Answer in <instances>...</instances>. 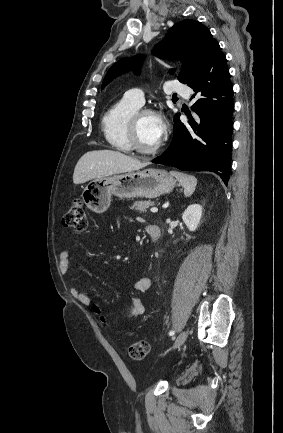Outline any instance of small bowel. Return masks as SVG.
Here are the masks:
<instances>
[{"label": "small bowel", "instance_id": "small-bowel-1", "mask_svg": "<svg viewBox=\"0 0 283 433\" xmlns=\"http://www.w3.org/2000/svg\"><path fill=\"white\" fill-rule=\"evenodd\" d=\"M121 218L118 219L117 224L120 225ZM59 268L62 274H66L69 271L70 264V253L67 249H63L59 252ZM152 281L149 277H142L138 279L134 285L133 290L136 293L147 291L151 287ZM72 297L82 305H89L90 298L86 293L81 291L75 286L71 287ZM145 306L139 297H133L131 300V315L133 317L140 316L144 313Z\"/></svg>", "mask_w": 283, "mask_h": 433}]
</instances>
